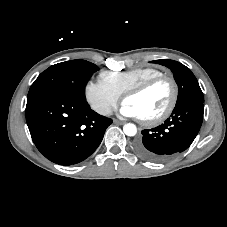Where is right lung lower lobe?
Listing matches in <instances>:
<instances>
[{
  "instance_id": "obj_1",
  "label": "right lung lower lobe",
  "mask_w": 227,
  "mask_h": 227,
  "mask_svg": "<svg viewBox=\"0 0 227 227\" xmlns=\"http://www.w3.org/2000/svg\"><path fill=\"white\" fill-rule=\"evenodd\" d=\"M25 112L34 144L59 165L76 164L89 157L112 124L83 99L56 93L27 99Z\"/></svg>"
}]
</instances>
